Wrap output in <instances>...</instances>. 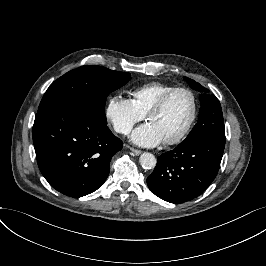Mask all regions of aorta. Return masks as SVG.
Here are the masks:
<instances>
[{
	"label": "aorta",
	"instance_id": "1",
	"mask_svg": "<svg viewBox=\"0 0 266 266\" xmlns=\"http://www.w3.org/2000/svg\"><path fill=\"white\" fill-rule=\"evenodd\" d=\"M157 160L151 153H143L140 157V165L145 170H152L156 167Z\"/></svg>",
	"mask_w": 266,
	"mask_h": 266
}]
</instances>
